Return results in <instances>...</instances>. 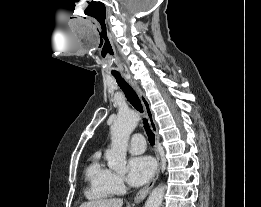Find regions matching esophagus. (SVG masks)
Here are the masks:
<instances>
[{"label":"esophagus","mask_w":261,"mask_h":207,"mask_svg":"<svg viewBox=\"0 0 261 207\" xmlns=\"http://www.w3.org/2000/svg\"><path fill=\"white\" fill-rule=\"evenodd\" d=\"M128 82L136 90V92L141 100V103L144 107L150 128L153 131V133L155 134L156 143H159V134H158L157 124L154 119V113L152 111V108L150 106V103H149L144 91L140 88V86L137 84V82L134 81L131 77H128ZM157 161H158V168H157L153 178L148 182V184L145 187H143L142 189H140L137 192V194L134 198L135 203H140L146 198V196L150 193L151 189L153 188L156 180L158 179V176L160 174V169H161V158H160L159 153H157Z\"/></svg>","instance_id":"esophagus-1"}]
</instances>
